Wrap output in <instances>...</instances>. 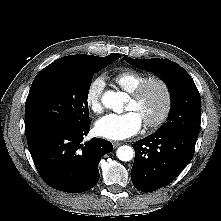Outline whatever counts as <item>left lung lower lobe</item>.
<instances>
[{
    "instance_id": "0a47b994",
    "label": "left lung lower lobe",
    "mask_w": 221,
    "mask_h": 221,
    "mask_svg": "<svg viewBox=\"0 0 221 221\" xmlns=\"http://www.w3.org/2000/svg\"><path fill=\"white\" fill-rule=\"evenodd\" d=\"M197 137L195 132L172 130L137 141L131 170L134 186L152 192L170 184L193 158Z\"/></svg>"
}]
</instances>
